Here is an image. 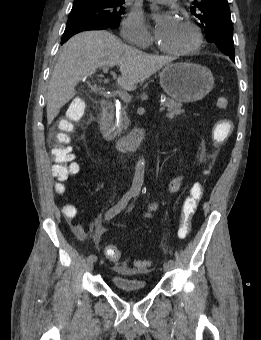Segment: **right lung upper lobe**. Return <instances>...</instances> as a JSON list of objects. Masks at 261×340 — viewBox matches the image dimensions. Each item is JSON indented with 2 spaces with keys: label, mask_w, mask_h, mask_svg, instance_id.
<instances>
[{
  "label": "right lung upper lobe",
  "mask_w": 261,
  "mask_h": 340,
  "mask_svg": "<svg viewBox=\"0 0 261 340\" xmlns=\"http://www.w3.org/2000/svg\"><path fill=\"white\" fill-rule=\"evenodd\" d=\"M80 1H91V0H74V2H80ZM92 1H125V0H92Z\"/></svg>",
  "instance_id": "cb5924a9"
}]
</instances>
